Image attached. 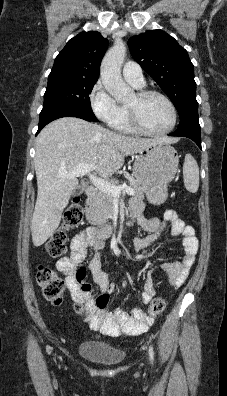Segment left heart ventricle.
Here are the masks:
<instances>
[{"instance_id": "obj_1", "label": "left heart ventricle", "mask_w": 227, "mask_h": 396, "mask_svg": "<svg viewBox=\"0 0 227 396\" xmlns=\"http://www.w3.org/2000/svg\"><path fill=\"white\" fill-rule=\"evenodd\" d=\"M128 106L133 107L142 125L150 131H162L171 123V112L166 102L159 96L139 98L135 95Z\"/></svg>"}]
</instances>
